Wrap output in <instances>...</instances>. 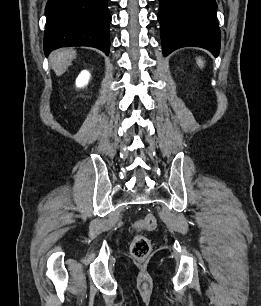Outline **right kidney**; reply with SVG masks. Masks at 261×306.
I'll return each instance as SVG.
<instances>
[{"instance_id": "1", "label": "right kidney", "mask_w": 261, "mask_h": 306, "mask_svg": "<svg viewBox=\"0 0 261 306\" xmlns=\"http://www.w3.org/2000/svg\"><path fill=\"white\" fill-rule=\"evenodd\" d=\"M90 79V73L88 71H82L76 79V86L77 87H84L87 85Z\"/></svg>"}]
</instances>
